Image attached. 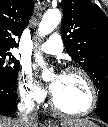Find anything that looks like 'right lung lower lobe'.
Listing matches in <instances>:
<instances>
[{"instance_id": "obj_1", "label": "right lung lower lobe", "mask_w": 108, "mask_h": 127, "mask_svg": "<svg viewBox=\"0 0 108 127\" xmlns=\"http://www.w3.org/2000/svg\"><path fill=\"white\" fill-rule=\"evenodd\" d=\"M17 97L16 82L0 79V114H11L14 111Z\"/></svg>"}]
</instances>
